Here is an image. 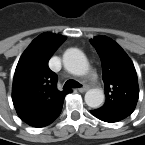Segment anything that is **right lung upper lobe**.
Listing matches in <instances>:
<instances>
[{"instance_id":"cb5924a9","label":"right lung upper lobe","mask_w":145,"mask_h":145,"mask_svg":"<svg viewBox=\"0 0 145 145\" xmlns=\"http://www.w3.org/2000/svg\"><path fill=\"white\" fill-rule=\"evenodd\" d=\"M60 37L41 34L26 49L16 71L13 102L22 120L41 127L50 124L60 113L65 91L56 88V75L48 61L62 44Z\"/></svg>"}]
</instances>
